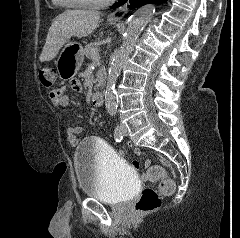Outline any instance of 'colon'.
<instances>
[{
    "label": "colon",
    "instance_id": "5ec220e1",
    "mask_svg": "<svg viewBox=\"0 0 240 238\" xmlns=\"http://www.w3.org/2000/svg\"><path fill=\"white\" fill-rule=\"evenodd\" d=\"M38 78L44 87L50 88L55 83L56 73L51 67L41 66L38 69ZM147 177L150 181H159V185L157 189H143L135 204V210L139 214H146L158 209L161 205V198L171 195L175 188L174 181L161 166H151L147 171Z\"/></svg>",
    "mask_w": 240,
    "mask_h": 238
}]
</instances>
